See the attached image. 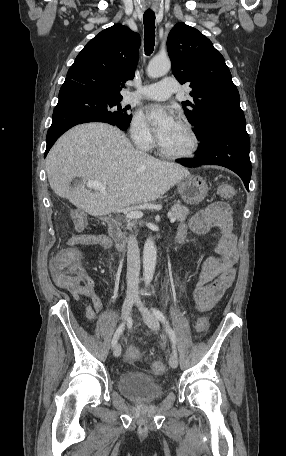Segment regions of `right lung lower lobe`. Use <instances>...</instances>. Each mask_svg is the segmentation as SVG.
<instances>
[{
  "label": "right lung lower lobe",
  "instance_id": "right-lung-lower-lobe-1",
  "mask_svg": "<svg viewBox=\"0 0 286 456\" xmlns=\"http://www.w3.org/2000/svg\"><path fill=\"white\" fill-rule=\"evenodd\" d=\"M100 98L79 87H61L59 101L53 111L52 124L47 132L46 157L54 142L71 127L95 121L93 109Z\"/></svg>",
  "mask_w": 286,
  "mask_h": 456
}]
</instances>
